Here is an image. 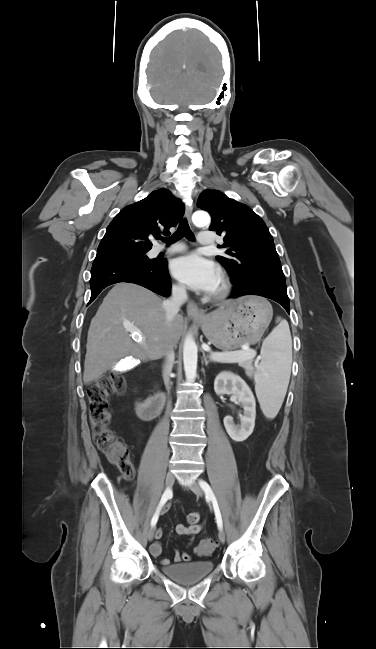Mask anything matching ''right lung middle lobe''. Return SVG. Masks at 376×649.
I'll return each mask as SVG.
<instances>
[{"instance_id": "obj_1", "label": "right lung middle lobe", "mask_w": 376, "mask_h": 649, "mask_svg": "<svg viewBox=\"0 0 376 649\" xmlns=\"http://www.w3.org/2000/svg\"><path fill=\"white\" fill-rule=\"evenodd\" d=\"M148 251L141 252H113L106 254H99L96 256L93 266L112 262V261H125V262H141V263H150L153 262V259H149L145 254Z\"/></svg>"}]
</instances>
